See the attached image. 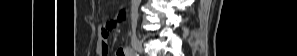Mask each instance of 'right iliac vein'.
Instances as JSON below:
<instances>
[{
  "mask_svg": "<svg viewBox=\"0 0 297 56\" xmlns=\"http://www.w3.org/2000/svg\"><path fill=\"white\" fill-rule=\"evenodd\" d=\"M131 45H132V47L134 48V50L136 52H138V53L143 52L142 44H141L140 40L136 36H133L131 38Z\"/></svg>",
  "mask_w": 297,
  "mask_h": 56,
  "instance_id": "obj_1",
  "label": "right iliac vein"
}]
</instances>
